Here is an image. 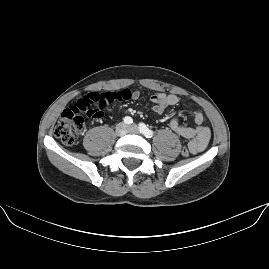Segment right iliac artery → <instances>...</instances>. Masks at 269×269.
<instances>
[{"mask_svg":"<svg viewBox=\"0 0 269 269\" xmlns=\"http://www.w3.org/2000/svg\"><path fill=\"white\" fill-rule=\"evenodd\" d=\"M124 122H125L126 124H131V123H133V120H132L131 117L126 116V117L124 118Z\"/></svg>","mask_w":269,"mask_h":269,"instance_id":"1","label":"right iliac artery"}]
</instances>
